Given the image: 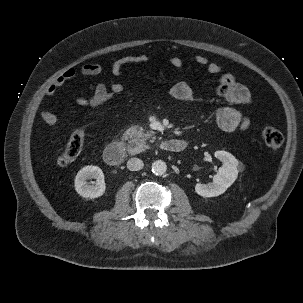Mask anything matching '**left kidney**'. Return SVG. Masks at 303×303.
Returning <instances> with one entry per match:
<instances>
[{"instance_id": "1", "label": "left kidney", "mask_w": 303, "mask_h": 303, "mask_svg": "<svg viewBox=\"0 0 303 303\" xmlns=\"http://www.w3.org/2000/svg\"><path fill=\"white\" fill-rule=\"evenodd\" d=\"M214 156L222 162L213 182L208 184L197 183L195 191L203 197H215L223 194L238 177V160L229 152L216 151Z\"/></svg>"}]
</instances>
